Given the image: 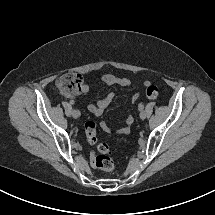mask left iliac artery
<instances>
[{
  "label": "left iliac artery",
  "mask_w": 215,
  "mask_h": 215,
  "mask_svg": "<svg viewBox=\"0 0 215 215\" xmlns=\"http://www.w3.org/2000/svg\"><path fill=\"white\" fill-rule=\"evenodd\" d=\"M143 108H144V106H143V105H140V107H138V110H137V111H138L139 113H141V112H143Z\"/></svg>",
  "instance_id": "1"
}]
</instances>
